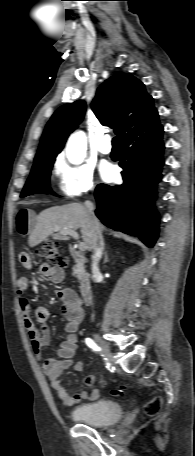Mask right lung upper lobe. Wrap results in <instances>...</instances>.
Segmentation results:
<instances>
[{
    "instance_id": "right-lung-upper-lobe-1",
    "label": "right lung upper lobe",
    "mask_w": 195,
    "mask_h": 456,
    "mask_svg": "<svg viewBox=\"0 0 195 456\" xmlns=\"http://www.w3.org/2000/svg\"><path fill=\"white\" fill-rule=\"evenodd\" d=\"M86 110L79 100L61 106L51 117L44 130L34 164L55 159L64 147L68 135L81 123ZM92 110L101 124L113 128L121 143L136 133L160 125L153 98L144 84L129 73H117L97 90Z\"/></svg>"
}]
</instances>
